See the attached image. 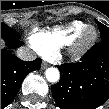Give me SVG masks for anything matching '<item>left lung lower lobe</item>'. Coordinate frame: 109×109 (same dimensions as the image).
Masks as SVG:
<instances>
[{
    "mask_svg": "<svg viewBox=\"0 0 109 109\" xmlns=\"http://www.w3.org/2000/svg\"><path fill=\"white\" fill-rule=\"evenodd\" d=\"M52 95L60 109H95L109 98V40L96 45L83 62L58 66Z\"/></svg>",
    "mask_w": 109,
    "mask_h": 109,
    "instance_id": "0a47b994",
    "label": "left lung lower lobe"
}]
</instances>
